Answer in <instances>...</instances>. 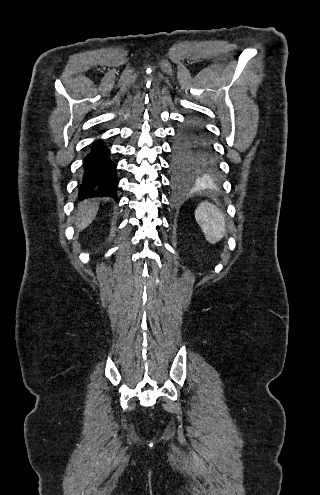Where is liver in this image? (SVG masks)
I'll return each instance as SVG.
<instances>
[{
  "label": "liver",
  "instance_id": "6515ba94",
  "mask_svg": "<svg viewBox=\"0 0 320 495\" xmlns=\"http://www.w3.org/2000/svg\"><path fill=\"white\" fill-rule=\"evenodd\" d=\"M98 202L96 199H87L78 204L76 228L82 231L89 226L98 212Z\"/></svg>",
  "mask_w": 320,
  "mask_h": 495
}]
</instances>
